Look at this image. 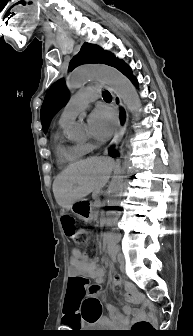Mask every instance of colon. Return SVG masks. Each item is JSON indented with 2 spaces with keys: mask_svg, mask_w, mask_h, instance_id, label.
<instances>
[{
  "mask_svg": "<svg viewBox=\"0 0 193 336\" xmlns=\"http://www.w3.org/2000/svg\"><path fill=\"white\" fill-rule=\"evenodd\" d=\"M61 223L64 229V232L68 239L72 242L79 243V233L76 227V220L73 216L70 215H63L61 217ZM79 286L82 290L83 295L85 296L87 293H94L97 290L96 285L89 284L86 279H83L79 282ZM84 310V318L88 322L95 321L99 316V306L96 299L90 297L87 298L83 304ZM154 329L153 324L150 319H145L136 322L131 330V336H146L150 331Z\"/></svg>",
  "mask_w": 193,
  "mask_h": 336,
  "instance_id": "5ec220e1",
  "label": "colon"
}]
</instances>
